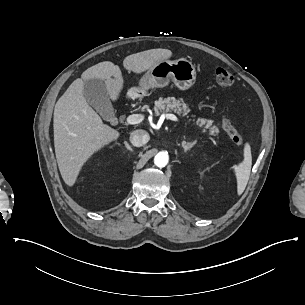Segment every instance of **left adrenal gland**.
<instances>
[{"instance_id":"left-adrenal-gland-1","label":"left adrenal gland","mask_w":305,"mask_h":305,"mask_svg":"<svg viewBox=\"0 0 305 305\" xmlns=\"http://www.w3.org/2000/svg\"><path fill=\"white\" fill-rule=\"evenodd\" d=\"M195 143H196L195 141L194 142L183 141L182 147L184 148V152H187L189 149H191L195 145Z\"/></svg>"}]
</instances>
